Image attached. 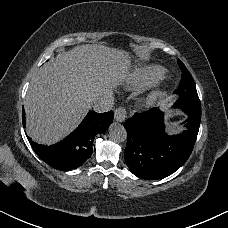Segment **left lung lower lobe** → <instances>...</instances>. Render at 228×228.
<instances>
[{
  "mask_svg": "<svg viewBox=\"0 0 228 228\" xmlns=\"http://www.w3.org/2000/svg\"><path fill=\"white\" fill-rule=\"evenodd\" d=\"M184 111L188 115L186 130L172 136L165 133L163 113L158 108L136 113L125 121V162L134 175L146 180L162 179L187 161L197 138L201 112Z\"/></svg>",
  "mask_w": 228,
  "mask_h": 228,
  "instance_id": "left-lung-lower-lobe-1",
  "label": "left lung lower lobe"
}]
</instances>
